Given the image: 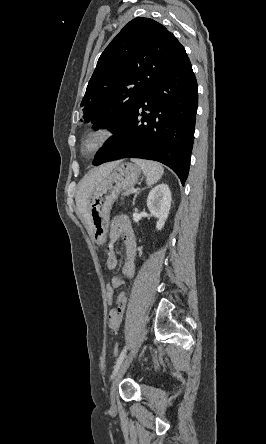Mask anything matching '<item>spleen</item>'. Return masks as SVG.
I'll list each match as a JSON object with an SVG mask.
<instances>
[{
  "label": "spleen",
  "mask_w": 266,
  "mask_h": 444,
  "mask_svg": "<svg viewBox=\"0 0 266 444\" xmlns=\"http://www.w3.org/2000/svg\"><path fill=\"white\" fill-rule=\"evenodd\" d=\"M132 161L142 169L146 175V183L149 186L155 184L163 175L164 169L158 162L137 158L132 159Z\"/></svg>",
  "instance_id": "3e777b00"
}]
</instances>
